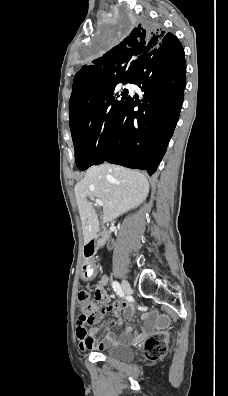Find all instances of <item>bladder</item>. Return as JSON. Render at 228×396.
<instances>
[{
  "instance_id": "31cf9c89",
  "label": "bladder",
  "mask_w": 228,
  "mask_h": 396,
  "mask_svg": "<svg viewBox=\"0 0 228 396\" xmlns=\"http://www.w3.org/2000/svg\"><path fill=\"white\" fill-rule=\"evenodd\" d=\"M102 353L113 360L121 362H130L135 357V352L132 347L128 345H114L102 350Z\"/></svg>"
}]
</instances>
